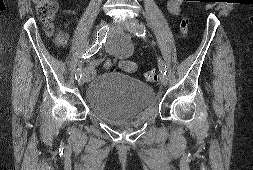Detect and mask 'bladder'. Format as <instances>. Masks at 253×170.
I'll return each instance as SVG.
<instances>
[{"label": "bladder", "mask_w": 253, "mask_h": 170, "mask_svg": "<svg viewBox=\"0 0 253 170\" xmlns=\"http://www.w3.org/2000/svg\"><path fill=\"white\" fill-rule=\"evenodd\" d=\"M154 88L135 76L119 72L101 73L85 90L89 109L113 125L126 124L153 106Z\"/></svg>", "instance_id": "bladder-1"}]
</instances>
